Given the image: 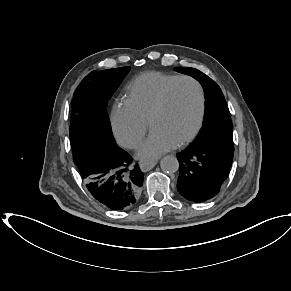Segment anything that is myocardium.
I'll list each match as a JSON object with an SVG mask.
<instances>
[{
    "label": "myocardium",
    "mask_w": 291,
    "mask_h": 291,
    "mask_svg": "<svg viewBox=\"0 0 291 291\" xmlns=\"http://www.w3.org/2000/svg\"><path fill=\"white\" fill-rule=\"evenodd\" d=\"M190 81L192 82L197 90H198V94H199V100H200V108H199V115H198V120L197 123L194 127V129L183 139H181L178 143H176L177 147H181L184 146L188 143H190L200 132L203 123H204V118H205V113H206V97H205V92L204 89L201 85V83L195 79L192 76L189 75H181V76H177L175 79H173L161 92L159 99L155 105V107L153 108L150 116H149V126L152 127V123L155 120V118L161 114L163 112V110L165 109L166 105H167V100H168V96L169 93L171 92V90L173 89V87L180 81Z\"/></svg>",
    "instance_id": "obj_1"
}]
</instances>
